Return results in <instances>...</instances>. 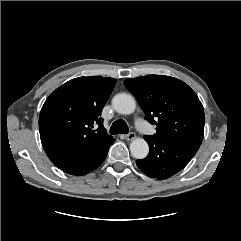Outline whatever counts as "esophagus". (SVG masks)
Segmentation results:
<instances>
[{
	"mask_svg": "<svg viewBox=\"0 0 241 241\" xmlns=\"http://www.w3.org/2000/svg\"><path fill=\"white\" fill-rule=\"evenodd\" d=\"M126 140L131 141L136 138V134L134 132H130L129 134L125 135Z\"/></svg>",
	"mask_w": 241,
	"mask_h": 241,
	"instance_id": "1",
	"label": "esophagus"
}]
</instances>
